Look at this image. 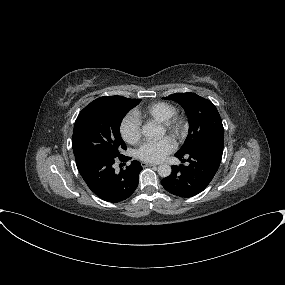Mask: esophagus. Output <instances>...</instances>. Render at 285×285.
I'll return each mask as SVG.
<instances>
[{"instance_id": "34e87169", "label": "esophagus", "mask_w": 285, "mask_h": 285, "mask_svg": "<svg viewBox=\"0 0 285 285\" xmlns=\"http://www.w3.org/2000/svg\"><path fill=\"white\" fill-rule=\"evenodd\" d=\"M157 164L154 163H146V162H142V167H150V166H156Z\"/></svg>"}]
</instances>
